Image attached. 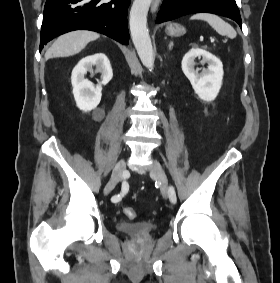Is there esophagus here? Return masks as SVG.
<instances>
[{"label": "esophagus", "instance_id": "34e87169", "mask_svg": "<svg viewBox=\"0 0 280 283\" xmlns=\"http://www.w3.org/2000/svg\"><path fill=\"white\" fill-rule=\"evenodd\" d=\"M160 1L161 0H152V5H151V12L152 13H154L157 10V8L160 4Z\"/></svg>", "mask_w": 280, "mask_h": 283}]
</instances>
